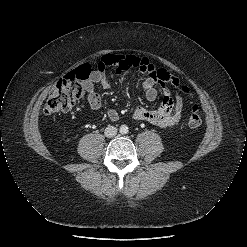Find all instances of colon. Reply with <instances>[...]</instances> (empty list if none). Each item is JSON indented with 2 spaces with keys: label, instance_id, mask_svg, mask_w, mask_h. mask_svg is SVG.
Instances as JSON below:
<instances>
[{
  "label": "colon",
  "instance_id": "1",
  "mask_svg": "<svg viewBox=\"0 0 247 247\" xmlns=\"http://www.w3.org/2000/svg\"><path fill=\"white\" fill-rule=\"evenodd\" d=\"M90 73V67L82 65L59 80L44 105V113L51 115L67 112L79 104L85 95L84 81L89 78ZM181 91L189 93V89L185 86L181 88ZM201 123L199 106L193 104L188 117V125L197 128Z\"/></svg>",
  "mask_w": 247,
  "mask_h": 247
}]
</instances>
